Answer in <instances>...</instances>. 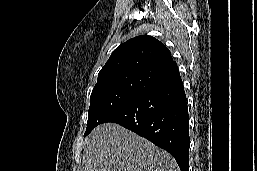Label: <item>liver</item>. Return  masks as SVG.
<instances>
[{"label":"liver","instance_id":"obj_1","mask_svg":"<svg viewBox=\"0 0 257 171\" xmlns=\"http://www.w3.org/2000/svg\"><path fill=\"white\" fill-rule=\"evenodd\" d=\"M82 171H180L174 158L115 123L97 126L85 140Z\"/></svg>","mask_w":257,"mask_h":171}]
</instances>
